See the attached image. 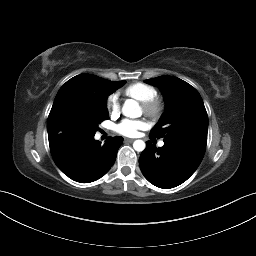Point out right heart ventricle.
I'll use <instances>...</instances> for the list:
<instances>
[{
  "mask_svg": "<svg viewBox=\"0 0 256 256\" xmlns=\"http://www.w3.org/2000/svg\"><path fill=\"white\" fill-rule=\"evenodd\" d=\"M123 94L142 103L156 97L157 91L151 85L137 82L127 86L123 90Z\"/></svg>",
  "mask_w": 256,
  "mask_h": 256,
  "instance_id": "1",
  "label": "right heart ventricle"
}]
</instances>
